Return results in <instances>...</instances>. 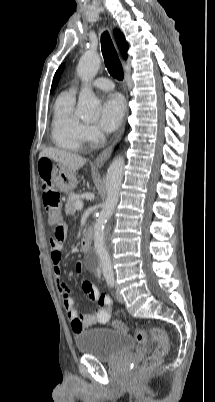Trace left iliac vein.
<instances>
[{"label": "left iliac vein", "instance_id": "left-iliac-vein-1", "mask_svg": "<svg viewBox=\"0 0 215 402\" xmlns=\"http://www.w3.org/2000/svg\"><path fill=\"white\" fill-rule=\"evenodd\" d=\"M115 297L118 302H120V303L124 302V298H123L122 294L119 292V290H116Z\"/></svg>", "mask_w": 215, "mask_h": 402}]
</instances>
